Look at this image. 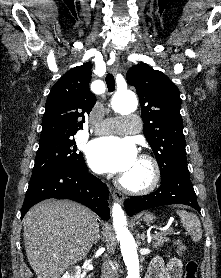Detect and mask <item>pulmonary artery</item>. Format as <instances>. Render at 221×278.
Masks as SVG:
<instances>
[{
  "label": "pulmonary artery",
  "mask_w": 221,
  "mask_h": 278,
  "mask_svg": "<svg viewBox=\"0 0 221 278\" xmlns=\"http://www.w3.org/2000/svg\"><path fill=\"white\" fill-rule=\"evenodd\" d=\"M140 131V121L135 116H125L122 118H110L105 120L96 128L97 134H131Z\"/></svg>",
  "instance_id": "1"
}]
</instances>
